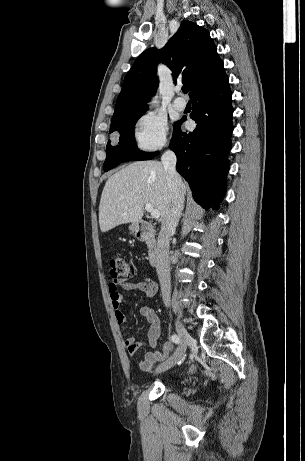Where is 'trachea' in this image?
Returning a JSON list of instances; mask_svg holds the SVG:
<instances>
[{
	"mask_svg": "<svg viewBox=\"0 0 305 461\" xmlns=\"http://www.w3.org/2000/svg\"><path fill=\"white\" fill-rule=\"evenodd\" d=\"M182 91H183V93H188L189 89H188L187 86H183Z\"/></svg>",
	"mask_w": 305,
	"mask_h": 461,
	"instance_id": "1",
	"label": "trachea"
}]
</instances>
